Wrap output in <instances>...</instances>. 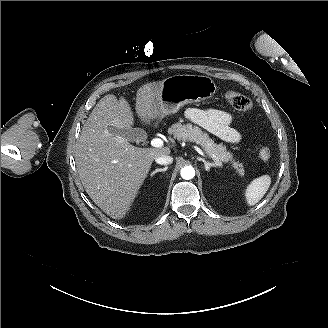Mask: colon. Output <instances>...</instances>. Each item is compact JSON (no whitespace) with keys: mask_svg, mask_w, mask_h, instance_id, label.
Segmentation results:
<instances>
[{"mask_svg":"<svg viewBox=\"0 0 328 328\" xmlns=\"http://www.w3.org/2000/svg\"><path fill=\"white\" fill-rule=\"evenodd\" d=\"M225 99L234 109L241 112L249 111L252 106L248 97L236 91H228L225 94ZM257 155L261 161L267 162L271 158V150L267 146H259L257 148Z\"/></svg>","mask_w":328,"mask_h":328,"instance_id":"1","label":"colon"}]
</instances>
